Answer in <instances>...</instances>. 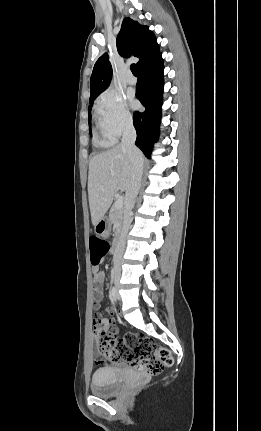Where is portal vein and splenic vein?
<instances>
[{
    "mask_svg": "<svg viewBox=\"0 0 261 431\" xmlns=\"http://www.w3.org/2000/svg\"><path fill=\"white\" fill-rule=\"evenodd\" d=\"M122 205H123V197L121 196L116 200L115 206H116V208H121Z\"/></svg>",
    "mask_w": 261,
    "mask_h": 431,
    "instance_id": "1",
    "label": "portal vein and splenic vein"
}]
</instances>
